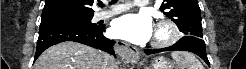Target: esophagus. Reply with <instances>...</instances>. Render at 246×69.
<instances>
[{
  "label": "esophagus",
  "instance_id": "obj_1",
  "mask_svg": "<svg viewBox=\"0 0 246 69\" xmlns=\"http://www.w3.org/2000/svg\"><path fill=\"white\" fill-rule=\"evenodd\" d=\"M116 53L126 60L135 63L140 58V51L135 46L124 42H117L114 46Z\"/></svg>",
  "mask_w": 246,
  "mask_h": 69
}]
</instances>
